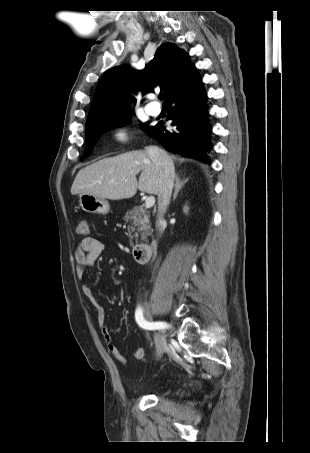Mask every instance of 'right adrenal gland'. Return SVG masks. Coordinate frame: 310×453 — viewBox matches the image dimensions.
I'll return each mask as SVG.
<instances>
[{
  "label": "right adrenal gland",
  "mask_w": 310,
  "mask_h": 453,
  "mask_svg": "<svg viewBox=\"0 0 310 453\" xmlns=\"http://www.w3.org/2000/svg\"><path fill=\"white\" fill-rule=\"evenodd\" d=\"M188 181H189V178H186L185 180L181 181L180 178H179V174L176 175V178H175V190H174L173 199H172L173 201L176 200L179 191L183 188L185 183L188 182Z\"/></svg>",
  "instance_id": "1"
}]
</instances>
